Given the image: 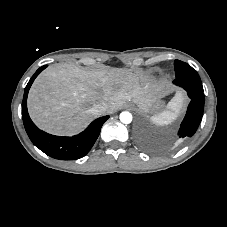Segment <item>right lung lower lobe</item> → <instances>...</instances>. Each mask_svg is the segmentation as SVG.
Masks as SVG:
<instances>
[{
  "mask_svg": "<svg viewBox=\"0 0 227 227\" xmlns=\"http://www.w3.org/2000/svg\"><path fill=\"white\" fill-rule=\"evenodd\" d=\"M47 65L39 68L29 80L22 101V119L32 143L50 157L61 160H75L85 156L97 140L104 122L109 116L94 120L86 130L73 137H60L48 134L35 126L27 111V95L35 78Z\"/></svg>",
  "mask_w": 227,
  "mask_h": 227,
  "instance_id": "obj_1",
  "label": "right lung lower lobe"
}]
</instances>
